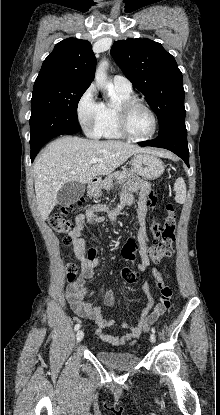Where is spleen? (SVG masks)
<instances>
[{
    "label": "spleen",
    "mask_w": 220,
    "mask_h": 415,
    "mask_svg": "<svg viewBox=\"0 0 220 415\" xmlns=\"http://www.w3.org/2000/svg\"><path fill=\"white\" fill-rule=\"evenodd\" d=\"M175 200L183 204L186 201V184L182 177H179L174 184Z\"/></svg>",
    "instance_id": "spleen-1"
}]
</instances>
